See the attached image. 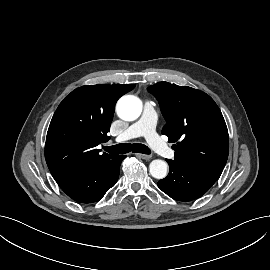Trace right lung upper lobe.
Returning <instances> with one entry per match:
<instances>
[{
  "label": "right lung upper lobe",
  "mask_w": 270,
  "mask_h": 270,
  "mask_svg": "<svg viewBox=\"0 0 270 270\" xmlns=\"http://www.w3.org/2000/svg\"><path fill=\"white\" fill-rule=\"evenodd\" d=\"M129 85H86L60 103L50 122L45 159L56 182L83 174L115 155L97 149L109 139L117 100L134 89Z\"/></svg>",
  "instance_id": "right-lung-upper-lobe-1"
}]
</instances>
